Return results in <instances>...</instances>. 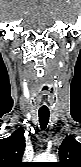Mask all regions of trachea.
<instances>
[{"label": "trachea", "mask_w": 81, "mask_h": 167, "mask_svg": "<svg viewBox=\"0 0 81 167\" xmlns=\"http://www.w3.org/2000/svg\"><path fill=\"white\" fill-rule=\"evenodd\" d=\"M49 121V111H39V122L40 127L44 130Z\"/></svg>", "instance_id": "trachea-1"}]
</instances>
